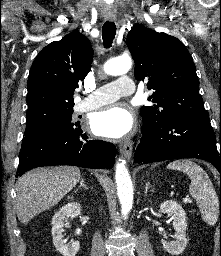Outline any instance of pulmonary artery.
I'll return each mask as SVG.
<instances>
[{
	"mask_svg": "<svg viewBox=\"0 0 221 256\" xmlns=\"http://www.w3.org/2000/svg\"><path fill=\"white\" fill-rule=\"evenodd\" d=\"M134 93V84L131 78L123 76L115 81L107 83L85 97L76 110L79 112L89 111L105 104L116 101L122 96H129Z\"/></svg>",
	"mask_w": 221,
	"mask_h": 256,
	"instance_id": "e3ab8cb5",
	"label": "pulmonary artery"
}]
</instances>
